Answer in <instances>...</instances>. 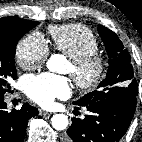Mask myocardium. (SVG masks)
<instances>
[{"instance_id":"obj_1","label":"myocardium","mask_w":142,"mask_h":142,"mask_svg":"<svg viewBox=\"0 0 142 142\" xmlns=\"http://www.w3.org/2000/svg\"><path fill=\"white\" fill-rule=\"evenodd\" d=\"M71 75L75 84L81 89L96 87L105 77L107 62L95 52L78 58L70 59Z\"/></svg>"}]
</instances>
